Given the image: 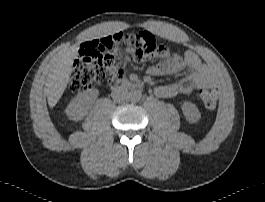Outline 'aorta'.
<instances>
[{
    "mask_svg": "<svg viewBox=\"0 0 265 202\" xmlns=\"http://www.w3.org/2000/svg\"><path fill=\"white\" fill-rule=\"evenodd\" d=\"M141 92L139 90H132L129 95V99L133 102H137L141 99Z\"/></svg>",
    "mask_w": 265,
    "mask_h": 202,
    "instance_id": "1",
    "label": "aorta"
}]
</instances>
